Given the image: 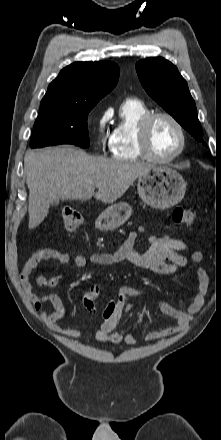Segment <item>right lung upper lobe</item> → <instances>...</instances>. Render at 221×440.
Wrapping results in <instances>:
<instances>
[{
  "mask_svg": "<svg viewBox=\"0 0 221 440\" xmlns=\"http://www.w3.org/2000/svg\"><path fill=\"white\" fill-rule=\"evenodd\" d=\"M119 72L118 65L110 61L75 62L49 84L41 102L96 105L115 87Z\"/></svg>",
  "mask_w": 221,
  "mask_h": 440,
  "instance_id": "obj_1",
  "label": "right lung upper lobe"
}]
</instances>
